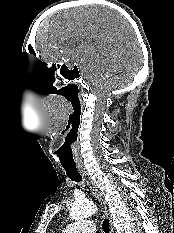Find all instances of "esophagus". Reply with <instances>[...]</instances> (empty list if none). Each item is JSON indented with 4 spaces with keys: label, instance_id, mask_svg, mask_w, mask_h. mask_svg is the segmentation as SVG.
<instances>
[{
    "label": "esophagus",
    "instance_id": "esophagus-1",
    "mask_svg": "<svg viewBox=\"0 0 174 233\" xmlns=\"http://www.w3.org/2000/svg\"><path fill=\"white\" fill-rule=\"evenodd\" d=\"M78 170H79L80 174L86 179V181L89 184L92 192L94 193L96 198L99 200L100 206H101V211H102L103 215L109 219L110 233H115L114 232V227H113L112 217H111V215H110V213L108 211L107 203H106L102 193L100 192V190L96 186L95 182L89 176V174L87 173V171L84 168H79Z\"/></svg>",
    "mask_w": 174,
    "mask_h": 233
}]
</instances>
